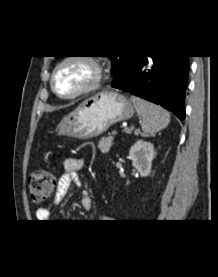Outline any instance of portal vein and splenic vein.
Instances as JSON below:
<instances>
[{"label": "portal vein and splenic vein", "instance_id": "1", "mask_svg": "<svg viewBox=\"0 0 218 277\" xmlns=\"http://www.w3.org/2000/svg\"><path fill=\"white\" fill-rule=\"evenodd\" d=\"M134 130V127L126 128L125 131L127 133H131ZM117 134V131H112V136H115Z\"/></svg>", "mask_w": 218, "mask_h": 277}]
</instances>
